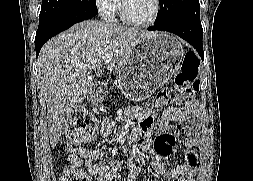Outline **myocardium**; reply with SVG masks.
<instances>
[{
    "label": "myocardium",
    "mask_w": 253,
    "mask_h": 181,
    "mask_svg": "<svg viewBox=\"0 0 253 181\" xmlns=\"http://www.w3.org/2000/svg\"><path fill=\"white\" fill-rule=\"evenodd\" d=\"M161 10V2L160 0H154V11L152 16L146 21H137L132 19L125 7L124 0H120V13L123 21L128 25L135 26V27H150L154 25L157 21Z\"/></svg>",
    "instance_id": "myocardium-1"
}]
</instances>
